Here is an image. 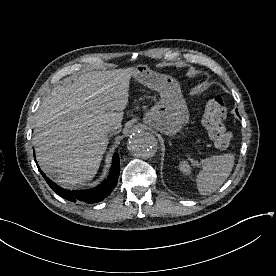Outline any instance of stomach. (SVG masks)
Returning a JSON list of instances; mask_svg holds the SVG:
<instances>
[{
	"label": "stomach",
	"mask_w": 276,
	"mask_h": 276,
	"mask_svg": "<svg viewBox=\"0 0 276 276\" xmlns=\"http://www.w3.org/2000/svg\"><path fill=\"white\" fill-rule=\"evenodd\" d=\"M133 77L160 94V100L145 115L144 121L148 125L161 133L173 135L188 123V107L176 79L142 64L134 67Z\"/></svg>",
	"instance_id": "0dacf381"
}]
</instances>
